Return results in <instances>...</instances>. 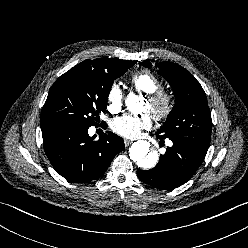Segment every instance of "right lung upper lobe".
I'll list each match as a JSON object with an SVG mask.
<instances>
[{
    "label": "right lung upper lobe",
    "instance_id": "obj_1",
    "mask_svg": "<svg viewBox=\"0 0 248 248\" xmlns=\"http://www.w3.org/2000/svg\"><path fill=\"white\" fill-rule=\"evenodd\" d=\"M126 60H118L112 58H102V59H87L75 67L90 68V69H103L105 71H111L117 69L122 64L126 63Z\"/></svg>",
    "mask_w": 248,
    "mask_h": 248
}]
</instances>
